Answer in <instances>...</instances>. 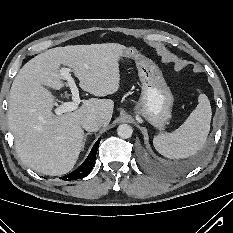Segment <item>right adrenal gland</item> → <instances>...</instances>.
Here are the masks:
<instances>
[{
    "mask_svg": "<svg viewBox=\"0 0 233 233\" xmlns=\"http://www.w3.org/2000/svg\"><path fill=\"white\" fill-rule=\"evenodd\" d=\"M91 134H92V133H86V134L84 135V139H83V143H82V148H81L82 151L84 150L85 143H86V139H87L88 135H91Z\"/></svg>",
    "mask_w": 233,
    "mask_h": 233,
    "instance_id": "2a0ac1e0",
    "label": "right adrenal gland"
}]
</instances>
